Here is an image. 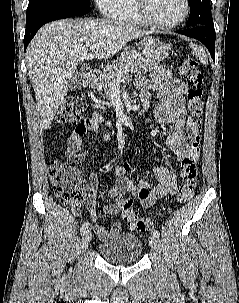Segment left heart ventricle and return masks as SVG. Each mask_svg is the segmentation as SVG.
I'll return each instance as SVG.
<instances>
[{"label":"left heart ventricle","instance_id":"left-heart-ventricle-1","mask_svg":"<svg viewBox=\"0 0 239 303\" xmlns=\"http://www.w3.org/2000/svg\"><path fill=\"white\" fill-rule=\"evenodd\" d=\"M184 13L183 0H150L149 16L160 24L172 23Z\"/></svg>","mask_w":239,"mask_h":303}]
</instances>
